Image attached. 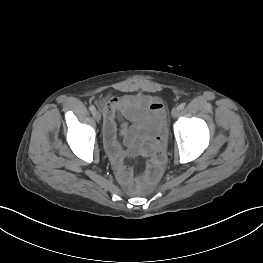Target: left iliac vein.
Wrapping results in <instances>:
<instances>
[{
	"label": "left iliac vein",
	"mask_w": 263,
	"mask_h": 263,
	"mask_svg": "<svg viewBox=\"0 0 263 263\" xmlns=\"http://www.w3.org/2000/svg\"><path fill=\"white\" fill-rule=\"evenodd\" d=\"M179 113H180V108L179 107H174L173 109H172V111H171V115H172V117H177L178 115H179Z\"/></svg>",
	"instance_id": "4c4485c4"
}]
</instances>
